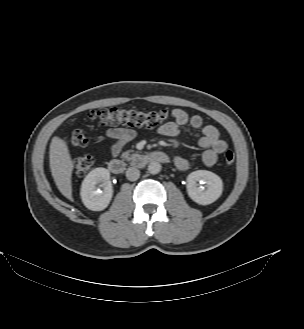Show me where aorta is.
<instances>
[{
	"label": "aorta",
	"instance_id": "1",
	"mask_svg": "<svg viewBox=\"0 0 304 329\" xmlns=\"http://www.w3.org/2000/svg\"><path fill=\"white\" fill-rule=\"evenodd\" d=\"M161 171V165L160 163L158 162H151L149 165H148V172L150 174H158L159 172Z\"/></svg>",
	"mask_w": 304,
	"mask_h": 329
}]
</instances>
